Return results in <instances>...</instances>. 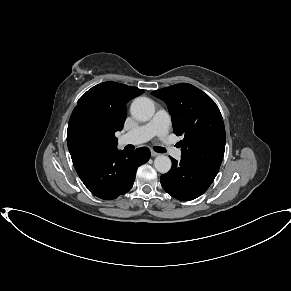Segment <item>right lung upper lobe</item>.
I'll return each instance as SVG.
<instances>
[{
  "instance_id": "right-lung-upper-lobe-1",
  "label": "right lung upper lobe",
  "mask_w": 291,
  "mask_h": 291,
  "mask_svg": "<svg viewBox=\"0 0 291 291\" xmlns=\"http://www.w3.org/2000/svg\"><path fill=\"white\" fill-rule=\"evenodd\" d=\"M144 90L116 82H104L92 87L78 100L68 129L85 124L94 132V143L105 149L117 148L116 131H121L126 119V104Z\"/></svg>"
}]
</instances>
